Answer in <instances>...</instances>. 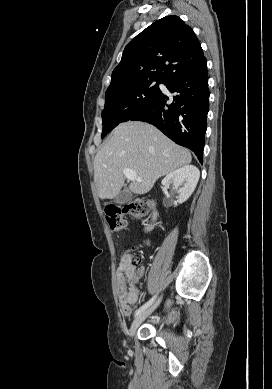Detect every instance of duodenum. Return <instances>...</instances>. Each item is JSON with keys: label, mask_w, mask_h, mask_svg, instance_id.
<instances>
[{"label": "duodenum", "mask_w": 272, "mask_h": 389, "mask_svg": "<svg viewBox=\"0 0 272 389\" xmlns=\"http://www.w3.org/2000/svg\"><path fill=\"white\" fill-rule=\"evenodd\" d=\"M149 204L151 205V207L154 208V201L152 199H149ZM156 217H157V214L156 212L154 211L153 214H152V217L150 219V221L146 224V230H150L154 227L155 225V222H156Z\"/></svg>", "instance_id": "duodenum-1"}]
</instances>
